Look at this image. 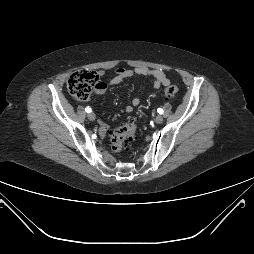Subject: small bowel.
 I'll return each mask as SVG.
<instances>
[{"instance_id":"1","label":"small bowel","mask_w":254,"mask_h":254,"mask_svg":"<svg viewBox=\"0 0 254 254\" xmlns=\"http://www.w3.org/2000/svg\"><path fill=\"white\" fill-rule=\"evenodd\" d=\"M99 76L104 75V71L98 72ZM133 76H150L154 79L153 86L155 89H159L161 86H168L170 84V80L164 71L160 69H149L147 67H136L134 69H126V68H117L114 70V74L108 83L99 82V86L95 89V93L97 95H102L105 93L109 86H114L120 84L124 80L131 78ZM141 103L139 97H134L132 99V105H128L126 107V112L130 113L133 110V107L139 106ZM100 132L103 136H106L109 133L108 127L103 124L100 127Z\"/></svg>"}]
</instances>
